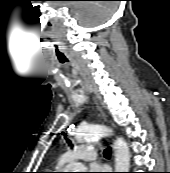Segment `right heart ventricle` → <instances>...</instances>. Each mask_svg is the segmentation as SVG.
Here are the masks:
<instances>
[{
  "instance_id": "1",
  "label": "right heart ventricle",
  "mask_w": 170,
  "mask_h": 173,
  "mask_svg": "<svg viewBox=\"0 0 170 173\" xmlns=\"http://www.w3.org/2000/svg\"><path fill=\"white\" fill-rule=\"evenodd\" d=\"M63 164H65V162L61 159L58 168H61Z\"/></svg>"
}]
</instances>
